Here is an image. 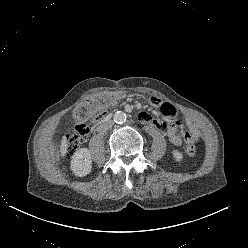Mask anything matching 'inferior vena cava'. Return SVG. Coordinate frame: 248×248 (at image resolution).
<instances>
[{
    "label": "inferior vena cava",
    "instance_id": "inferior-vena-cava-1",
    "mask_svg": "<svg viewBox=\"0 0 248 248\" xmlns=\"http://www.w3.org/2000/svg\"><path fill=\"white\" fill-rule=\"evenodd\" d=\"M113 126V121L109 120L100 125V131H107Z\"/></svg>",
    "mask_w": 248,
    "mask_h": 248
}]
</instances>
